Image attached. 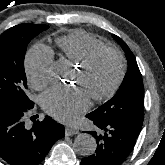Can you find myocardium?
<instances>
[{"label":"myocardium","mask_w":165,"mask_h":165,"mask_svg":"<svg viewBox=\"0 0 165 165\" xmlns=\"http://www.w3.org/2000/svg\"><path fill=\"white\" fill-rule=\"evenodd\" d=\"M106 52H110L112 54H114L119 61V72L117 75L116 80L114 81V83L112 84V86L104 93L99 94V95H93L91 98L94 101L97 102H102L105 100L110 99L120 88L125 74H126V70H127V64H126V59L125 56L123 55V53L114 47L111 46H101L98 47L94 50H92L81 62L78 63V69L81 71H86L88 68L91 67V65L94 63V61L103 53Z\"/></svg>","instance_id":"1"}]
</instances>
